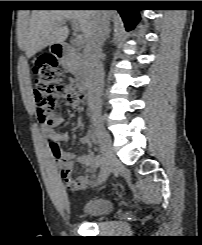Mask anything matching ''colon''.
I'll list each match as a JSON object with an SVG mask.
<instances>
[{"label": "colon", "mask_w": 202, "mask_h": 245, "mask_svg": "<svg viewBox=\"0 0 202 245\" xmlns=\"http://www.w3.org/2000/svg\"><path fill=\"white\" fill-rule=\"evenodd\" d=\"M34 78V104L37 115L44 124L52 123V109L56 97H64L70 108L79 107V94L69 83L65 82L64 74L54 56L46 55L32 67ZM50 148L54 155L61 151L58 139H53Z\"/></svg>", "instance_id": "obj_1"}]
</instances>
